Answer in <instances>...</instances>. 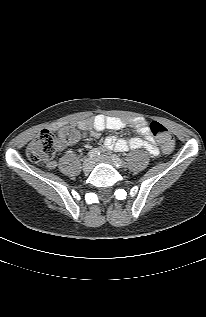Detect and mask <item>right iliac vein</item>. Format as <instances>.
I'll return each instance as SVG.
<instances>
[{
	"label": "right iliac vein",
	"instance_id": "63e3f726",
	"mask_svg": "<svg viewBox=\"0 0 206 317\" xmlns=\"http://www.w3.org/2000/svg\"><path fill=\"white\" fill-rule=\"evenodd\" d=\"M94 162L91 158H86L83 162V171L88 173L92 170Z\"/></svg>",
	"mask_w": 206,
	"mask_h": 317
}]
</instances>
